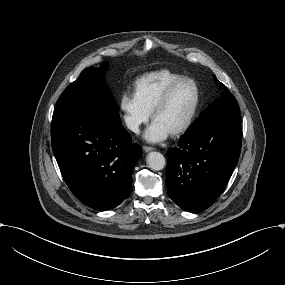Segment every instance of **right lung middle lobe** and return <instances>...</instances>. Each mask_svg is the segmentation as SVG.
I'll return each instance as SVG.
<instances>
[{
    "label": "right lung middle lobe",
    "instance_id": "obj_1",
    "mask_svg": "<svg viewBox=\"0 0 285 285\" xmlns=\"http://www.w3.org/2000/svg\"><path fill=\"white\" fill-rule=\"evenodd\" d=\"M108 62L100 67L84 69L76 81L61 94L55 112L70 109L106 110L118 112L111 92L105 85L104 75Z\"/></svg>",
    "mask_w": 285,
    "mask_h": 285
}]
</instances>
